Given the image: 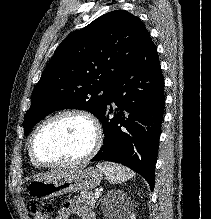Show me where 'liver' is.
<instances>
[{
	"label": "liver",
	"mask_w": 211,
	"mask_h": 219,
	"mask_svg": "<svg viewBox=\"0 0 211 219\" xmlns=\"http://www.w3.org/2000/svg\"><path fill=\"white\" fill-rule=\"evenodd\" d=\"M67 173V170H57V171H53L47 175H45L43 178H41L40 180H48V179H51L55 176H62L64 174Z\"/></svg>",
	"instance_id": "6515ba94"
}]
</instances>
